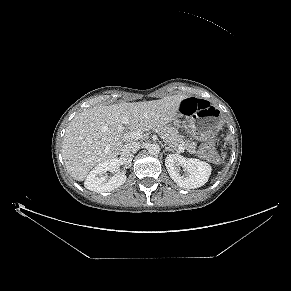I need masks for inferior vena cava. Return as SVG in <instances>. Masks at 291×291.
<instances>
[{
	"label": "inferior vena cava",
	"instance_id": "1",
	"mask_svg": "<svg viewBox=\"0 0 291 291\" xmlns=\"http://www.w3.org/2000/svg\"><path fill=\"white\" fill-rule=\"evenodd\" d=\"M141 147L139 142H132L125 144L121 149V156L124 158H128L133 156Z\"/></svg>",
	"mask_w": 291,
	"mask_h": 291
}]
</instances>
